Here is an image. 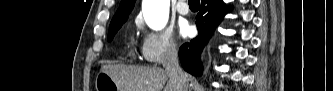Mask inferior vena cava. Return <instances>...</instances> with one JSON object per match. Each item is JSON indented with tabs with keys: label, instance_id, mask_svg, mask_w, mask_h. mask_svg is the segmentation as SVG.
<instances>
[{
	"label": "inferior vena cava",
	"instance_id": "602c4592",
	"mask_svg": "<svg viewBox=\"0 0 333 91\" xmlns=\"http://www.w3.org/2000/svg\"><path fill=\"white\" fill-rule=\"evenodd\" d=\"M165 71L169 74L172 80L178 83L179 91H188L187 79L178 63V54L176 45L172 44L166 51V57L163 62Z\"/></svg>",
	"mask_w": 333,
	"mask_h": 91
}]
</instances>
